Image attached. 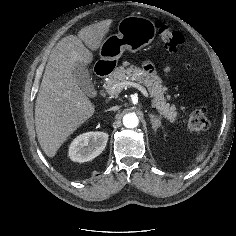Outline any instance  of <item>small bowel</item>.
<instances>
[{
  "label": "small bowel",
  "instance_id": "1",
  "mask_svg": "<svg viewBox=\"0 0 236 236\" xmlns=\"http://www.w3.org/2000/svg\"><path fill=\"white\" fill-rule=\"evenodd\" d=\"M145 68L150 71L151 70V65L149 63L145 64ZM170 72V68L165 69V74L167 75Z\"/></svg>",
  "mask_w": 236,
  "mask_h": 236
}]
</instances>
